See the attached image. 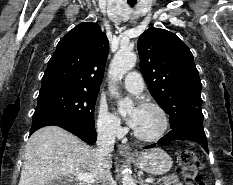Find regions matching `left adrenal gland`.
I'll list each match as a JSON object with an SVG mask.
<instances>
[{
  "mask_svg": "<svg viewBox=\"0 0 233 185\" xmlns=\"http://www.w3.org/2000/svg\"><path fill=\"white\" fill-rule=\"evenodd\" d=\"M140 184L141 185H147V184H145V182L142 179H140Z\"/></svg>",
  "mask_w": 233,
  "mask_h": 185,
  "instance_id": "left-adrenal-gland-1",
  "label": "left adrenal gland"
}]
</instances>
